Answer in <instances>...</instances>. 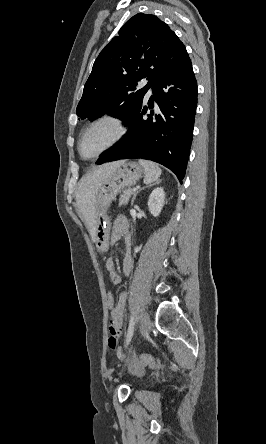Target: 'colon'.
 I'll use <instances>...</instances> for the list:
<instances>
[{"label": "colon", "mask_w": 266, "mask_h": 444, "mask_svg": "<svg viewBox=\"0 0 266 444\" xmlns=\"http://www.w3.org/2000/svg\"><path fill=\"white\" fill-rule=\"evenodd\" d=\"M106 304L110 310H113L116 307L115 297L111 291H108L106 294ZM134 367L135 370L141 371L144 367L160 369L163 367V365L159 359L146 354H141L137 357Z\"/></svg>", "instance_id": "obj_1"}]
</instances>
